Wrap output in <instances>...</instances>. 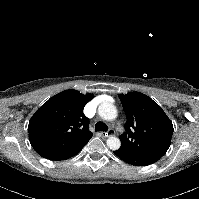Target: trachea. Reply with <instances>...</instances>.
I'll return each instance as SVG.
<instances>
[{
  "label": "trachea",
  "mask_w": 199,
  "mask_h": 199,
  "mask_svg": "<svg viewBox=\"0 0 199 199\" xmlns=\"http://www.w3.org/2000/svg\"><path fill=\"white\" fill-rule=\"evenodd\" d=\"M95 130L96 131H107L108 130V126L103 123V122H97L95 124Z\"/></svg>",
  "instance_id": "1"
}]
</instances>
